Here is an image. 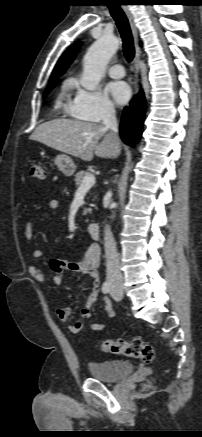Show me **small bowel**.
Returning <instances> with one entry per match:
<instances>
[{
	"label": "small bowel",
	"instance_id": "obj_1",
	"mask_svg": "<svg viewBox=\"0 0 202 437\" xmlns=\"http://www.w3.org/2000/svg\"><path fill=\"white\" fill-rule=\"evenodd\" d=\"M60 207V202L56 199H52L49 201L50 210H58ZM33 222L30 220L26 223L25 226V237L27 240H31L33 237ZM43 252L39 249H35L32 252V256L35 259L42 257ZM100 255L99 250L95 245H91L84 256L74 262L60 260V259H51L49 262V267L53 275V282L55 285L60 286L64 282V276L67 272H77L87 275L86 282L90 283L92 286L91 293L86 299V302L83 308L80 310L78 318L69 325V330L72 333H78L81 331L83 327L84 320H88L91 318V307L96 302L99 293H100V282L99 276L97 272V267L99 265ZM30 276L39 283H44L45 275L41 268L36 265H31L29 267ZM104 308L106 315L109 318H113L115 316V311L113 310L111 303L107 297H103ZM56 315L59 320L62 322H68L71 318V309L67 306H61L56 309ZM91 329L94 331H102L105 329V324L99 322H93L90 325Z\"/></svg>",
	"mask_w": 202,
	"mask_h": 437
}]
</instances>
